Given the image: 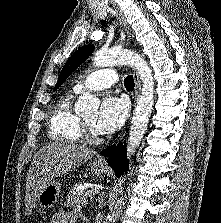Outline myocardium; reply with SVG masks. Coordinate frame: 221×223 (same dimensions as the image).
Wrapping results in <instances>:
<instances>
[{
  "label": "myocardium",
  "instance_id": "obj_1",
  "mask_svg": "<svg viewBox=\"0 0 221 223\" xmlns=\"http://www.w3.org/2000/svg\"><path fill=\"white\" fill-rule=\"evenodd\" d=\"M81 126H82V139L85 140L88 143H101L102 138L100 134H98L95 129L89 125L86 120L83 118L81 119Z\"/></svg>",
  "mask_w": 221,
  "mask_h": 223
}]
</instances>
